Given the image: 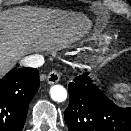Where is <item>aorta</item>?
Listing matches in <instances>:
<instances>
[{
  "label": "aorta",
  "mask_w": 131,
  "mask_h": 131,
  "mask_svg": "<svg viewBox=\"0 0 131 131\" xmlns=\"http://www.w3.org/2000/svg\"><path fill=\"white\" fill-rule=\"evenodd\" d=\"M51 98L56 102H63L67 98V91L61 85H54L50 89Z\"/></svg>",
  "instance_id": "762f6f07"
}]
</instances>
